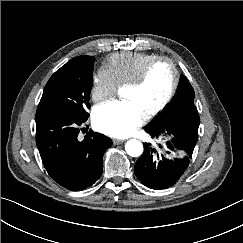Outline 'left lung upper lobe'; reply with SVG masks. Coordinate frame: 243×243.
<instances>
[{"label":"left lung upper lobe","mask_w":243,"mask_h":243,"mask_svg":"<svg viewBox=\"0 0 243 243\" xmlns=\"http://www.w3.org/2000/svg\"><path fill=\"white\" fill-rule=\"evenodd\" d=\"M194 90L188 81V79L182 75L180 81V87L177 98L174 104L166 111L162 116L154 120L148 126L152 128L165 129L167 122L175 120V118H181L180 123L185 125L199 124L200 118L197 109L190 111V113H184L191 105H194ZM183 110V111H182Z\"/></svg>","instance_id":"5c2ea615"}]
</instances>
